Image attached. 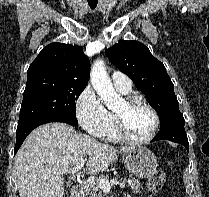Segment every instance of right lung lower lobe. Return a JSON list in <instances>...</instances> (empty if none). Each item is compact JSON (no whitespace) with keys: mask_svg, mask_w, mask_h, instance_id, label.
I'll return each mask as SVG.
<instances>
[{"mask_svg":"<svg viewBox=\"0 0 209 197\" xmlns=\"http://www.w3.org/2000/svg\"><path fill=\"white\" fill-rule=\"evenodd\" d=\"M49 122H64L68 123L72 126H77L78 121H74L72 119L62 117V116H46L41 117L38 119H34L28 122H25L23 124H18L17 130H16V145H15V153L20 148L21 144L27 137V135L36 127L39 125L49 123Z\"/></svg>","mask_w":209,"mask_h":197,"instance_id":"obj_1","label":"right lung lower lobe"}]
</instances>
